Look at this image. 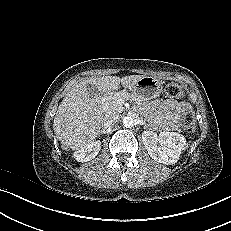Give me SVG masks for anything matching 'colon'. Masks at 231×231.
Masks as SVG:
<instances>
[{"label":"colon","mask_w":231,"mask_h":231,"mask_svg":"<svg viewBox=\"0 0 231 231\" xmlns=\"http://www.w3.org/2000/svg\"><path fill=\"white\" fill-rule=\"evenodd\" d=\"M165 94L170 98H181L183 89L176 83H169L165 87ZM179 126L187 133H193L196 130V120L191 110L182 113L179 118Z\"/></svg>","instance_id":"1"}]
</instances>
